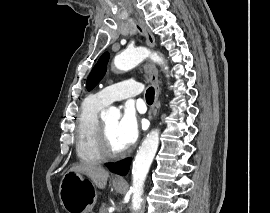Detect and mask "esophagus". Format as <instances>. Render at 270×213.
<instances>
[{"label":"esophagus","instance_id":"obj_1","mask_svg":"<svg viewBox=\"0 0 270 213\" xmlns=\"http://www.w3.org/2000/svg\"><path fill=\"white\" fill-rule=\"evenodd\" d=\"M139 25H140L142 31L144 32V35L146 37L147 45L150 48H154V46H155V38H154V35L152 34L151 30L141 20H139ZM146 68H147L148 73H149L150 81H151V83H152V85L154 86V89H155L154 103H153V105L151 106V108L149 109V112H148V117H149V120L151 121L152 118H153V115L156 113V106L158 104V99H159V94H160V85H159V80H158V70H157L156 66L153 63L149 62L146 65ZM114 181L120 182V183H125V180L120 176H115Z\"/></svg>","mask_w":270,"mask_h":213}]
</instances>
